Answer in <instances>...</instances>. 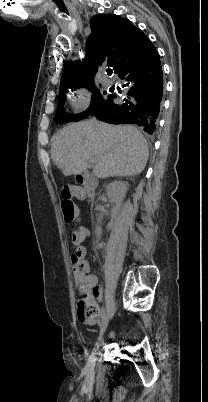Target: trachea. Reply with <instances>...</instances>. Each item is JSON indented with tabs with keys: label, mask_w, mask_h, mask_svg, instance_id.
Returning <instances> with one entry per match:
<instances>
[{
	"label": "trachea",
	"mask_w": 208,
	"mask_h": 402,
	"mask_svg": "<svg viewBox=\"0 0 208 402\" xmlns=\"http://www.w3.org/2000/svg\"><path fill=\"white\" fill-rule=\"evenodd\" d=\"M107 74L111 75L112 74V70H107Z\"/></svg>",
	"instance_id": "obj_1"
}]
</instances>
